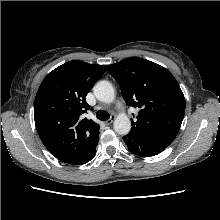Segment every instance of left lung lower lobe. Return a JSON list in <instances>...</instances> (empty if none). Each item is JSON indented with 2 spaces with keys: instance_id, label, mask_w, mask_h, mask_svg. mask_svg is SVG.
I'll use <instances>...</instances> for the list:
<instances>
[{
  "instance_id": "left-lung-lower-lobe-1",
  "label": "left lung lower lobe",
  "mask_w": 220,
  "mask_h": 220,
  "mask_svg": "<svg viewBox=\"0 0 220 220\" xmlns=\"http://www.w3.org/2000/svg\"><path fill=\"white\" fill-rule=\"evenodd\" d=\"M124 141L128 146L129 150L138 156L141 157H150L157 155L158 153L162 152L165 148L152 146L143 142H136L132 137L129 135L124 136Z\"/></svg>"
}]
</instances>
